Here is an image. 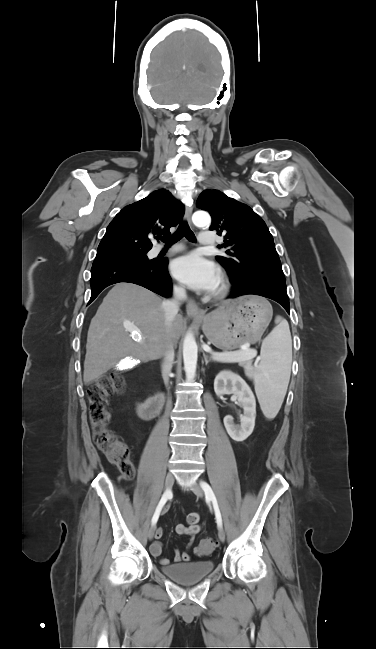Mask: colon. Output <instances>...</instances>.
Wrapping results in <instances>:
<instances>
[{"mask_svg":"<svg viewBox=\"0 0 376 649\" xmlns=\"http://www.w3.org/2000/svg\"><path fill=\"white\" fill-rule=\"evenodd\" d=\"M124 388V381L119 376H105L91 385L86 391L89 403V419L93 430V440L110 462L117 465L121 474L126 479L135 475V467L129 456L127 445L116 434L108 429L110 415L107 411L108 397L120 393ZM197 517H192L194 521ZM216 546V541L211 538L202 539L196 548L199 555L210 553Z\"/></svg>","mask_w":376,"mask_h":649,"instance_id":"obj_1","label":"colon"}]
</instances>
